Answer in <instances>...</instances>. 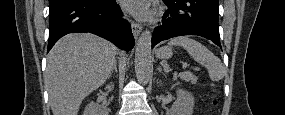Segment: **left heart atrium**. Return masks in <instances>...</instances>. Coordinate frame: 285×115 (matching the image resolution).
Wrapping results in <instances>:
<instances>
[{
    "label": "left heart atrium",
    "mask_w": 285,
    "mask_h": 115,
    "mask_svg": "<svg viewBox=\"0 0 285 115\" xmlns=\"http://www.w3.org/2000/svg\"><path fill=\"white\" fill-rule=\"evenodd\" d=\"M122 3L126 10L137 17L147 18L150 15L149 1L147 0H124Z\"/></svg>",
    "instance_id": "obj_1"
}]
</instances>
